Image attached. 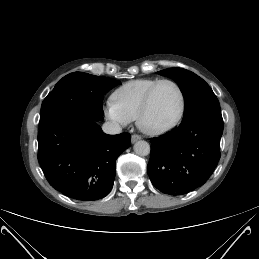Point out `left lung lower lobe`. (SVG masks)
Returning <instances> with one entry per match:
<instances>
[{"label": "left lung lower lobe", "mask_w": 259, "mask_h": 259, "mask_svg": "<svg viewBox=\"0 0 259 259\" xmlns=\"http://www.w3.org/2000/svg\"><path fill=\"white\" fill-rule=\"evenodd\" d=\"M221 114L197 116L151 138L148 175L165 194L183 195L202 186L220 159Z\"/></svg>", "instance_id": "0a47b994"}]
</instances>
